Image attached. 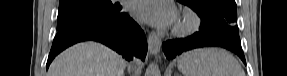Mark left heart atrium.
Masks as SVG:
<instances>
[{
	"mask_svg": "<svg viewBox=\"0 0 287 76\" xmlns=\"http://www.w3.org/2000/svg\"><path fill=\"white\" fill-rule=\"evenodd\" d=\"M134 17L158 27H168L177 19V11L168 0H135L131 6Z\"/></svg>",
	"mask_w": 287,
	"mask_h": 76,
	"instance_id": "left-heart-atrium-1",
	"label": "left heart atrium"
}]
</instances>
